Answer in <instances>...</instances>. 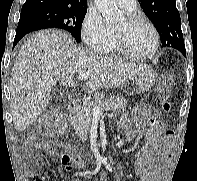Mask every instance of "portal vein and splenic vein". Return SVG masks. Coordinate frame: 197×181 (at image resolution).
<instances>
[{"label": "portal vein and splenic vein", "mask_w": 197, "mask_h": 181, "mask_svg": "<svg viewBox=\"0 0 197 181\" xmlns=\"http://www.w3.org/2000/svg\"><path fill=\"white\" fill-rule=\"evenodd\" d=\"M77 78H78V80L84 81V80H86L88 78V76L86 74H79ZM102 110L103 109L100 108V107H94L93 108L94 116H101ZM103 111L104 112L108 111V109H104Z\"/></svg>", "instance_id": "18ae733b"}]
</instances>
